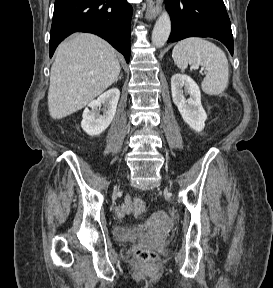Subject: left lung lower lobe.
I'll list each match as a JSON object with an SVG mask.
<instances>
[{
    "instance_id": "0a47b994",
    "label": "left lung lower lobe",
    "mask_w": 273,
    "mask_h": 288,
    "mask_svg": "<svg viewBox=\"0 0 273 288\" xmlns=\"http://www.w3.org/2000/svg\"><path fill=\"white\" fill-rule=\"evenodd\" d=\"M172 30L168 42L187 37H212L233 55L231 23L223 0H165Z\"/></svg>"
}]
</instances>
